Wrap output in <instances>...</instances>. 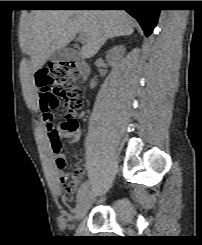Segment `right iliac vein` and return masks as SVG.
Returning <instances> with one entry per match:
<instances>
[{
	"label": "right iliac vein",
	"mask_w": 202,
	"mask_h": 245,
	"mask_svg": "<svg viewBox=\"0 0 202 245\" xmlns=\"http://www.w3.org/2000/svg\"><path fill=\"white\" fill-rule=\"evenodd\" d=\"M92 198L89 194L85 193L83 194L77 202V205L75 207V216L77 220L82 219L87 211L89 210L92 202Z\"/></svg>",
	"instance_id": "right-iliac-vein-1"
}]
</instances>
